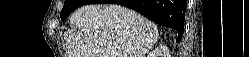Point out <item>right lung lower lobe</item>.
Wrapping results in <instances>:
<instances>
[{
    "label": "right lung lower lobe",
    "mask_w": 249,
    "mask_h": 57,
    "mask_svg": "<svg viewBox=\"0 0 249 57\" xmlns=\"http://www.w3.org/2000/svg\"><path fill=\"white\" fill-rule=\"evenodd\" d=\"M113 3L131 8L159 25L174 28L180 41L184 32V0H92L91 3Z\"/></svg>",
    "instance_id": "right-lung-lower-lobe-1"
}]
</instances>
